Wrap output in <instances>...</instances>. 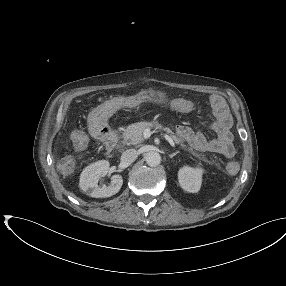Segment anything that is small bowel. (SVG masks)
<instances>
[{
  "mask_svg": "<svg viewBox=\"0 0 286 286\" xmlns=\"http://www.w3.org/2000/svg\"><path fill=\"white\" fill-rule=\"evenodd\" d=\"M210 105L216 117V122L209 128L216 134V138L207 136L206 130L194 131L188 126L180 125L176 128V133L181 141L199 151L219 154L225 158H231L235 154L233 135L230 131L232 118L224 98L215 95L210 100ZM173 110L181 113L194 111L195 104L192 101L176 98L171 101Z\"/></svg>",
  "mask_w": 286,
  "mask_h": 286,
  "instance_id": "small-bowel-1",
  "label": "small bowel"
}]
</instances>
